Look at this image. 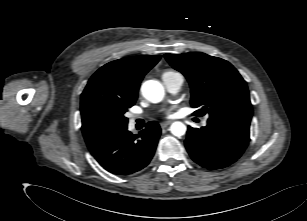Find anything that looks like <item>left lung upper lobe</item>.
<instances>
[{
    "label": "left lung upper lobe",
    "mask_w": 307,
    "mask_h": 221,
    "mask_svg": "<svg viewBox=\"0 0 307 221\" xmlns=\"http://www.w3.org/2000/svg\"><path fill=\"white\" fill-rule=\"evenodd\" d=\"M191 87V106L196 115L237 116L251 119L253 110L245 80L226 60L201 52L165 54Z\"/></svg>",
    "instance_id": "obj_1"
}]
</instances>
